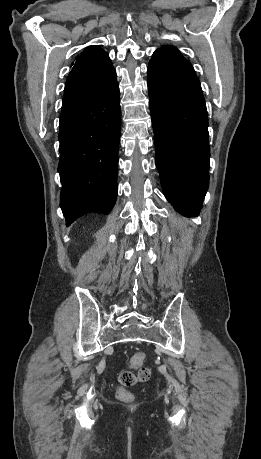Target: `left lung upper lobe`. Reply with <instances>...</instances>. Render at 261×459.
<instances>
[{
  "label": "left lung upper lobe",
  "instance_id": "1",
  "mask_svg": "<svg viewBox=\"0 0 261 459\" xmlns=\"http://www.w3.org/2000/svg\"><path fill=\"white\" fill-rule=\"evenodd\" d=\"M149 63L174 71L195 74L192 64L172 46H162L157 49Z\"/></svg>",
  "mask_w": 261,
  "mask_h": 459
}]
</instances>
